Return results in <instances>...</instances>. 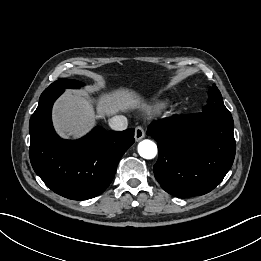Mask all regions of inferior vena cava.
Masks as SVG:
<instances>
[{
    "instance_id": "inferior-vena-cava-1",
    "label": "inferior vena cava",
    "mask_w": 261,
    "mask_h": 261,
    "mask_svg": "<svg viewBox=\"0 0 261 261\" xmlns=\"http://www.w3.org/2000/svg\"><path fill=\"white\" fill-rule=\"evenodd\" d=\"M109 126L115 131H123L128 126L127 118L123 115H116L109 119Z\"/></svg>"
}]
</instances>
